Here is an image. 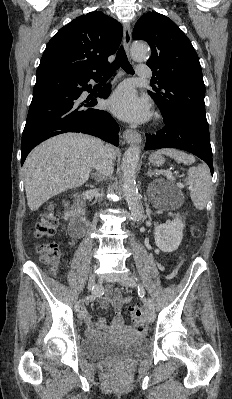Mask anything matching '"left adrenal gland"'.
Returning <instances> with one entry per match:
<instances>
[{"label":"left adrenal gland","instance_id":"left-adrenal-gland-1","mask_svg":"<svg viewBox=\"0 0 232 399\" xmlns=\"http://www.w3.org/2000/svg\"><path fill=\"white\" fill-rule=\"evenodd\" d=\"M146 176H154V172H152V170H150V168H149Z\"/></svg>","mask_w":232,"mask_h":399}]
</instances>
